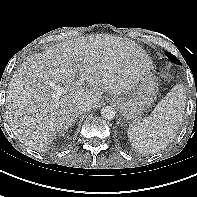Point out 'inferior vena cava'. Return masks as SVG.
I'll use <instances>...</instances> for the list:
<instances>
[{
    "mask_svg": "<svg viewBox=\"0 0 197 197\" xmlns=\"http://www.w3.org/2000/svg\"><path fill=\"white\" fill-rule=\"evenodd\" d=\"M92 108V101L90 99H82L77 102L76 109L78 114L89 111Z\"/></svg>",
    "mask_w": 197,
    "mask_h": 197,
    "instance_id": "obj_1",
    "label": "inferior vena cava"
}]
</instances>
